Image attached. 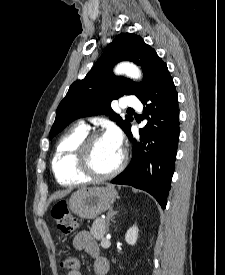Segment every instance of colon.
<instances>
[{
  "label": "colon",
  "mask_w": 225,
  "mask_h": 275,
  "mask_svg": "<svg viewBox=\"0 0 225 275\" xmlns=\"http://www.w3.org/2000/svg\"><path fill=\"white\" fill-rule=\"evenodd\" d=\"M51 213L62 234L69 235L75 230V222L69 217L68 207L65 201L57 203ZM62 267L69 272L79 271L80 262L77 257L69 256L63 260Z\"/></svg>",
  "instance_id": "1"
}]
</instances>
